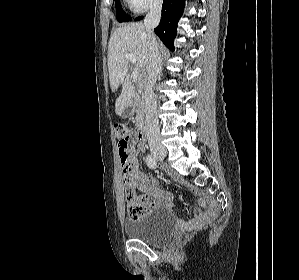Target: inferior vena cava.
Returning a JSON list of instances; mask_svg holds the SVG:
<instances>
[{"instance_id": "602c4592", "label": "inferior vena cava", "mask_w": 299, "mask_h": 280, "mask_svg": "<svg viewBox=\"0 0 299 280\" xmlns=\"http://www.w3.org/2000/svg\"><path fill=\"white\" fill-rule=\"evenodd\" d=\"M162 0H155L151 6L150 12L144 19V26L149 41L150 58L147 67L146 84L144 91L145 103V131L148 143L160 145V131L157 116V102L154 93L156 80L162 74V60L158 49L154 28H156L161 18Z\"/></svg>"}]
</instances>
